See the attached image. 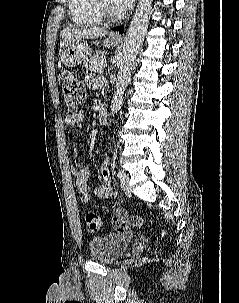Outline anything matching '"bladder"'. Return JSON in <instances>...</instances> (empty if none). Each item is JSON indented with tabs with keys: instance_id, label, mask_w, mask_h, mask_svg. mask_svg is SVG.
Returning <instances> with one entry per match:
<instances>
[{
	"instance_id": "31cf9c89",
	"label": "bladder",
	"mask_w": 239,
	"mask_h": 303,
	"mask_svg": "<svg viewBox=\"0 0 239 303\" xmlns=\"http://www.w3.org/2000/svg\"><path fill=\"white\" fill-rule=\"evenodd\" d=\"M133 239L132 233H111L93 237L89 242V256L96 262L113 263L126 252Z\"/></svg>"
}]
</instances>
